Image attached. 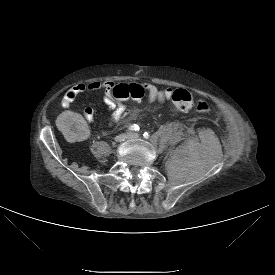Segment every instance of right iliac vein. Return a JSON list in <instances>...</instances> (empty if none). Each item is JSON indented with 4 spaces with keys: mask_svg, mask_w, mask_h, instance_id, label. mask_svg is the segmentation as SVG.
Wrapping results in <instances>:
<instances>
[{
    "mask_svg": "<svg viewBox=\"0 0 275 275\" xmlns=\"http://www.w3.org/2000/svg\"><path fill=\"white\" fill-rule=\"evenodd\" d=\"M127 138H129L128 134H120V135L115 137V141L117 143H121V142H124Z\"/></svg>",
    "mask_w": 275,
    "mask_h": 275,
    "instance_id": "obj_1",
    "label": "right iliac vein"
}]
</instances>
